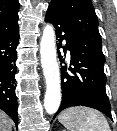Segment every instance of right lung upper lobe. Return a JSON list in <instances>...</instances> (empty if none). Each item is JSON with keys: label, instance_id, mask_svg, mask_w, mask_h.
Returning a JSON list of instances; mask_svg holds the SVG:
<instances>
[{"label": "right lung upper lobe", "instance_id": "right-lung-upper-lobe-1", "mask_svg": "<svg viewBox=\"0 0 117 131\" xmlns=\"http://www.w3.org/2000/svg\"><path fill=\"white\" fill-rule=\"evenodd\" d=\"M18 0H0V39L18 30Z\"/></svg>", "mask_w": 117, "mask_h": 131}]
</instances>
